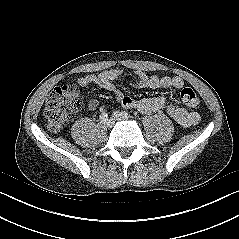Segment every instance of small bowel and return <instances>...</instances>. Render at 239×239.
<instances>
[{
  "mask_svg": "<svg viewBox=\"0 0 239 239\" xmlns=\"http://www.w3.org/2000/svg\"><path fill=\"white\" fill-rule=\"evenodd\" d=\"M122 76V71L118 68H110L97 74H87L76 78L75 83L80 87L90 84L98 85L115 96L117 102L125 108H136L141 113L148 114L166 108L168 115L183 127L196 125L200 121V115L194 111H187L174 102L167 103L165 96H156L135 100L125 95L116 87L114 81ZM135 87L150 89H181L184 86V80L180 76H159L147 75L142 71L136 73ZM99 106L96 99L89 100L88 110H95Z\"/></svg>",
  "mask_w": 239,
  "mask_h": 239,
  "instance_id": "small-bowel-1",
  "label": "small bowel"
}]
</instances>
